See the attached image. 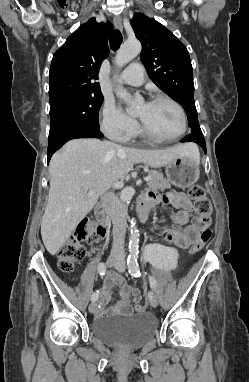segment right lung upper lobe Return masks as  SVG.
I'll use <instances>...</instances> for the list:
<instances>
[{"label": "right lung upper lobe", "mask_w": 249, "mask_h": 382, "mask_svg": "<svg viewBox=\"0 0 249 382\" xmlns=\"http://www.w3.org/2000/svg\"><path fill=\"white\" fill-rule=\"evenodd\" d=\"M110 22L95 18L81 25L55 54L49 74L50 104L67 98L102 94L95 82L103 59L109 54Z\"/></svg>", "instance_id": "cb5924a9"}]
</instances>
